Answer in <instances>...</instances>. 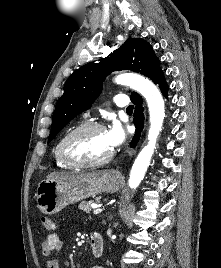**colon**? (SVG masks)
Instances as JSON below:
<instances>
[{
    "mask_svg": "<svg viewBox=\"0 0 221 268\" xmlns=\"http://www.w3.org/2000/svg\"><path fill=\"white\" fill-rule=\"evenodd\" d=\"M41 224L47 232L52 231L55 226L53 220L49 217H42Z\"/></svg>",
    "mask_w": 221,
    "mask_h": 268,
    "instance_id": "5ec220e1",
    "label": "colon"
}]
</instances>
